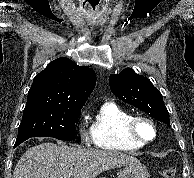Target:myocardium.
Returning <instances> with one entry per match:
<instances>
[{
    "label": "myocardium",
    "mask_w": 194,
    "mask_h": 178,
    "mask_svg": "<svg viewBox=\"0 0 194 178\" xmlns=\"http://www.w3.org/2000/svg\"><path fill=\"white\" fill-rule=\"evenodd\" d=\"M141 123L148 124L151 127L153 131V136L151 139H144L140 136L138 126ZM124 130L129 139L143 146L155 141L158 135V130L155 122L151 118L142 115L132 116L125 124Z\"/></svg>",
    "instance_id": "myocardium-1"
}]
</instances>
